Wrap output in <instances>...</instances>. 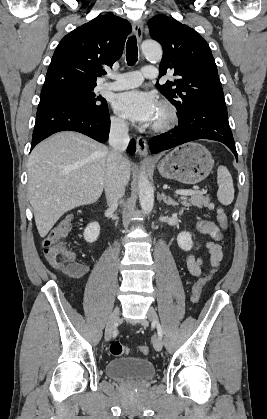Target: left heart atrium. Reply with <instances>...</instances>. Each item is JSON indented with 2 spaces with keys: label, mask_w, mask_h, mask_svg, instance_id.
Returning <instances> with one entry per match:
<instances>
[{
  "label": "left heart atrium",
  "mask_w": 267,
  "mask_h": 419,
  "mask_svg": "<svg viewBox=\"0 0 267 419\" xmlns=\"http://www.w3.org/2000/svg\"><path fill=\"white\" fill-rule=\"evenodd\" d=\"M113 107L130 120L149 125L153 122L159 105L153 93L130 90L116 95Z\"/></svg>",
  "instance_id": "left-heart-atrium-1"
}]
</instances>
